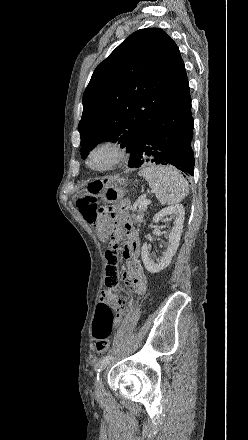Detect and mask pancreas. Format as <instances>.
<instances>
[{
  "label": "pancreas",
  "instance_id": "cf45deb5",
  "mask_svg": "<svg viewBox=\"0 0 248 440\" xmlns=\"http://www.w3.org/2000/svg\"><path fill=\"white\" fill-rule=\"evenodd\" d=\"M147 210V206H141L139 205V210H138V214H133V221L135 224H138V226H140V224L143 222L144 219V212ZM133 211H135V207H133Z\"/></svg>",
  "mask_w": 248,
  "mask_h": 440
}]
</instances>
